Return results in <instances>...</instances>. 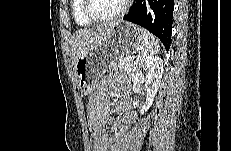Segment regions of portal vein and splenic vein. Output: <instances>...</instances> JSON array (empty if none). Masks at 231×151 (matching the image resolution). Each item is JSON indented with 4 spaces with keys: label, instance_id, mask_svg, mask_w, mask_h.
I'll list each match as a JSON object with an SVG mask.
<instances>
[{
    "label": "portal vein and splenic vein",
    "instance_id": "portal-vein-and-splenic-vein-1",
    "mask_svg": "<svg viewBox=\"0 0 231 151\" xmlns=\"http://www.w3.org/2000/svg\"><path fill=\"white\" fill-rule=\"evenodd\" d=\"M126 61H132V57L131 56H127L126 57Z\"/></svg>",
    "mask_w": 231,
    "mask_h": 151
}]
</instances>
